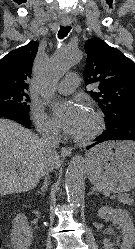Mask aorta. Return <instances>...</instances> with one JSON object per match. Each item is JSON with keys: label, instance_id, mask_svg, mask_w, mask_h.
Segmentation results:
<instances>
[{"label": "aorta", "instance_id": "762f6f07", "mask_svg": "<svg viewBox=\"0 0 135 249\" xmlns=\"http://www.w3.org/2000/svg\"><path fill=\"white\" fill-rule=\"evenodd\" d=\"M81 55L82 53L79 49L63 45L51 57L42 75L44 97L47 100L53 99L52 85L57 83L81 59ZM84 174V159L82 156L76 155L72 158L65 174L66 193L68 201L73 206H79L82 201Z\"/></svg>", "mask_w": 135, "mask_h": 249}]
</instances>
